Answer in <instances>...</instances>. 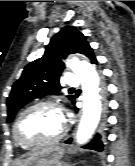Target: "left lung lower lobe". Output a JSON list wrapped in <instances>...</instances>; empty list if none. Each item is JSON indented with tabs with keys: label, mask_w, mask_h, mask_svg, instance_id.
Returning a JSON list of instances; mask_svg holds the SVG:
<instances>
[{
	"label": "left lung lower lobe",
	"mask_w": 135,
	"mask_h": 166,
	"mask_svg": "<svg viewBox=\"0 0 135 166\" xmlns=\"http://www.w3.org/2000/svg\"><path fill=\"white\" fill-rule=\"evenodd\" d=\"M91 63L92 64H98L96 58H93L91 60ZM75 102L73 101V104ZM77 110V108H75ZM103 140H104V135L103 133L101 134H96L95 137L93 138V140L87 144L86 146H84V148H87V149H92V150H95V151H98V152H102L103 151V148H104V144H103ZM72 139H68L66 141V143H71Z\"/></svg>",
	"instance_id": "left-lung-lower-lobe-1"
}]
</instances>
